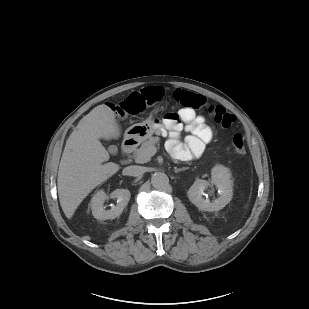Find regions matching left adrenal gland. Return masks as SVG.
<instances>
[{
	"instance_id": "obj_1",
	"label": "left adrenal gland",
	"mask_w": 309,
	"mask_h": 309,
	"mask_svg": "<svg viewBox=\"0 0 309 309\" xmlns=\"http://www.w3.org/2000/svg\"><path fill=\"white\" fill-rule=\"evenodd\" d=\"M187 169H188V167H183V168L174 167V172H175V173H178V172H180V171H184V170H187Z\"/></svg>"
}]
</instances>
